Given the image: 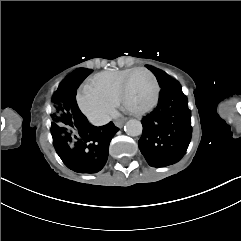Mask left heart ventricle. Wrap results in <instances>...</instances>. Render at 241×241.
Instances as JSON below:
<instances>
[{
	"label": "left heart ventricle",
	"mask_w": 241,
	"mask_h": 241,
	"mask_svg": "<svg viewBox=\"0 0 241 241\" xmlns=\"http://www.w3.org/2000/svg\"><path fill=\"white\" fill-rule=\"evenodd\" d=\"M127 99L124 104L129 110H143L153 98L152 83L145 73H138L124 83Z\"/></svg>",
	"instance_id": "obj_1"
}]
</instances>
